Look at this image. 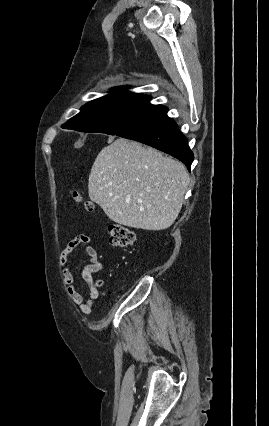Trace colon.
Masks as SVG:
<instances>
[{
  "instance_id": "5ec220e1",
  "label": "colon",
  "mask_w": 269,
  "mask_h": 426,
  "mask_svg": "<svg viewBox=\"0 0 269 426\" xmlns=\"http://www.w3.org/2000/svg\"><path fill=\"white\" fill-rule=\"evenodd\" d=\"M73 198L77 201L84 202L87 210L93 211L94 205L90 201H84L81 193L77 190L71 192ZM109 242L115 247H127L133 244L135 240V233L128 227L117 224H111L107 230Z\"/></svg>"
}]
</instances>
